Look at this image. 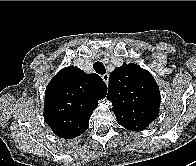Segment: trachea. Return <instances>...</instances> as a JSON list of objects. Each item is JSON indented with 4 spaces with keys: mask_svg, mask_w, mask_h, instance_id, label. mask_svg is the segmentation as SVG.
Segmentation results:
<instances>
[{
    "mask_svg": "<svg viewBox=\"0 0 196 166\" xmlns=\"http://www.w3.org/2000/svg\"><path fill=\"white\" fill-rule=\"evenodd\" d=\"M94 70L100 74V75H103L105 72H106V69H105V66L102 62L100 61H97L95 64H94Z\"/></svg>",
    "mask_w": 196,
    "mask_h": 166,
    "instance_id": "trachea-1",
    "label": "trachea"
}]
</instances>
